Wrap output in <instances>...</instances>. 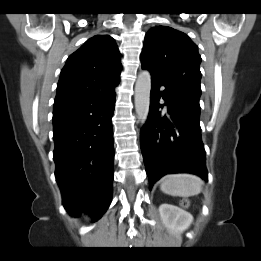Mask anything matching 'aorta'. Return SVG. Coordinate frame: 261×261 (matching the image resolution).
I'll use <instances>...</instances> for the list:
<instances>
[{"label": "aorta", "mask_w": 261, "mask_h": 261, "mask_svg": "<svg viewBox=\"0 0 261 261\" xmlns=\"http://www.w3.org/2000/svg\"><path fill=\"white\" fill-rule=\"evenodd\" d=\"M151 75L143 70L135 84V110L141 123H145L150 107Z\"/></svg>", "instance_id": "1"}]
</instances>
